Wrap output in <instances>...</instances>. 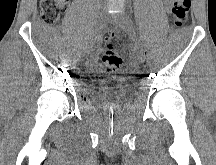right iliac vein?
I'll list each match as a JSON object with an SVG mask.
<instances>
[{
  "mask_svg": "<svg viewBox=\"0 0 216 165\" xmlns=\"http://www.w3.org/2000/svg\"><path fill=\"white\" fill-rule=\"evenodd\" d=\"M105 23H106V14L104 12H101L98 16L96 27L93 31L91 43L88 47V51H87L88 54L92 53L94 45L96 41L99 39L102 32V28L105 25Z\"/></svg>",
  "mask_w": 216,
  "mask_h": 165,
  "instance_id": "obj_1",
  "label": "right iliac vein"
}]
</instances>
